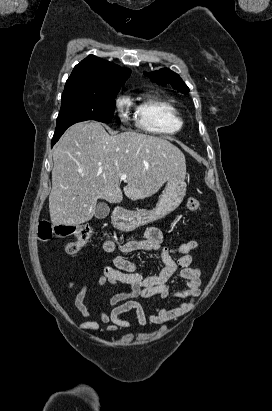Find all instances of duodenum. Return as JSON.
<instances>
[{"label":"duodenum","instance_id":"duodenum-1","mask_svg":"<svg viewBox=\"0 0 272 411\" xmlns=\"http://www.w3.org/2000/svg\"><path fill=\"white\" fill-rule=\"evenodd\" d=\"M122 210H123V208H121V207L116 208V212H121Z\"/></svg>","mask_w":272,"mask_h":411}]
</instances>
